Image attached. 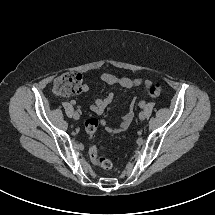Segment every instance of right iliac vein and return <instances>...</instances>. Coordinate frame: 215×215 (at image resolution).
I'll return each mask as SVG.
<instances>
[{
  "mask_svg": "<svg viewBox=\"0 0 215 215\" xmlns=\"http://www.w3.org/2000/svg\"><path fill=\"white\" fill-rule=\"evenodd\" d=\"M73 118H74L75 120H79V118H80L79 112H74Z\"/></svg>",
  "mask_w": 215,
  "mask_h": 215,
  "instance_id": "right-iliac-vein-1",
  "label": "right iliac vein"
}]
</instances>
